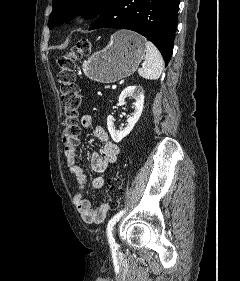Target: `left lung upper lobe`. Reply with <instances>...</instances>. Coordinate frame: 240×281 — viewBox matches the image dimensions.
I'll list each match as a JSON object with an SVG mask.
<instances>
[{"instance_id": "5c2ea615", "label": "left lung upper lobe", "mask_w": 240, "mask_h": 281, "mask_svg": "<svg viewBox=\"0 0 240 281\" xmlns=\"http://www.w3.org/2000/svg\"><path fill=\"white\" fill-rule=\"evenodd\" d=\"M111 0H52L53 10L49 16L48 25H61L63 20L69 21L75 14L86 17L100 14Z\"/></svg>"}]
</instances>
